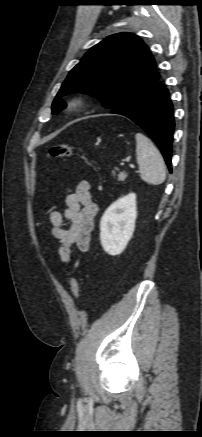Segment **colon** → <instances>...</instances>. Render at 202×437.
<instances>
[{"mask_svg":"<svg viewBox=\"0 0 202 437\" xmlns=\"http://www.w3.org/2000/svg\"><path fill=\"white\" fill-rule=\"evenodd\" d=\"M73 153V148L69 145H55L49 148L47 156L49 158H65L70 157ZM70 291L73 298L77 299L81 292L80 281L77 277H73L70 282Z\"/></svg>","mask_w":202,"mask_h":437,"instance_id":"colon-1","label":"colon"}]
</instances>
